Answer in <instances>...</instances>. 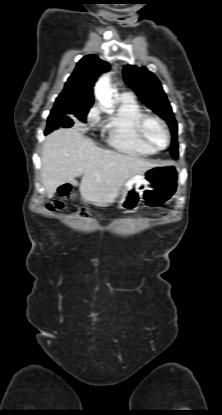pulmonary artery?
<instances>
[{"label": "pulmonary artery", "mask_w": 222, "mask_h": 415, "mask_svg": "<svg viewBox=\"0 0 222 415\" xmlns=\"http://www.w3.org/2000/svg\"><path fill=\"white\" fill-rule=\"evenodd\" d=\"M123 95L131 96L129 93H125V94H123Z\"/></svg>", "instance_id": "obj_1"}]
</instances>
